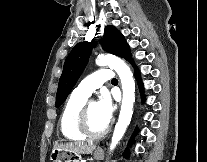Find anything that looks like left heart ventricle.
<instances>
[{
    "label": "left heart ventricle",
    "instance_id": "left-heart-ventricle-1",
    "mask_svg": "<svg viewBox=\"0 0 207 162\" xmlns=\"http://www.w3.org/2000/svg\"><path fill=\"white\" fill-rule=\"evenodd\" d=\"M88 120L91 130L94 132L101 131L107 126V123L101 114L99 105L96 102H93L89 108Z\"/></svg>",
    "mask_w": 207,
    "mask_h": 162
}]
</instances>
